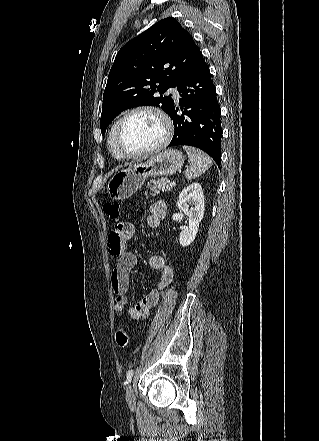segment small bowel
<instances>
[{
	"instance_id": "1",
	"label": "small bowel",
	"mask_w": 319,
	"mask_h": 441,
	"mask_svg": "<svg viewBox=\"0 0 319 441\" xmlns=\"http://www.w3.org/2000/svg\"><path fill=\"white\" fill-rule=\"evenodd\" d=\"M167 207L164 201L154 202L146 218L151 228H158L165 217ZM135 227L131 223H120L115 226L108 238L109 253L116 257V263L111 274V286L114 293V311L120 315L127 305L126 294L129 289L130 274L137 264L136 254L127 248V242L134 238ZM152 269L160 271V280L156 288L149 291L138 302L128 309L132 319L140 320L149 316L152 308L159 300L160 292L171 282L173 272L161 255H152L149 258Z\"/></svg>"
}]
</instances>
